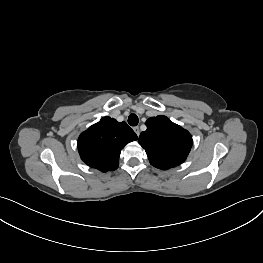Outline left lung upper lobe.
Returning a JSON list of instances; mask_svg holds the SVG:
<instances>
[{"instance_id":"left-lung-upper-lobe-1","label":"left lung upper lobe","mask_w":263,"mask_h":263,"mask_svg":"<svg viewBox=\"0 0 263 263\" xmlns=\"http://www.w3.org/2000/svg\"><path fill=\"white\" fill-rule=\"evenodd\" d=\"M145 124L147 130L140 134L138 143L151 165L167 170L186 160L193 142L187 130L162 115L149 118Z\"/></svg>"}]
</instances>
